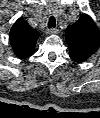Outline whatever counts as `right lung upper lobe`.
Wrapping results in <instances>:
<instances>
[{
	"label": "right lung upper lobe",
	"mask_w": 100,
	"mask_h": 118,
	"mask_svg": "<svg viewBox=\"0 0 100 118\" xmlns=\"http://www.w3.org/2000/svg\"><path fill=\"white\" fill-rule=\"evenodd\" d=\"M40 35L23 19H18L10 31V43L19 58H27L34 54V48Z\"/></svg>",
	"instance_id": "1"
}]
</instances>
